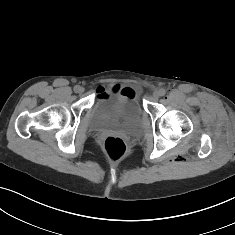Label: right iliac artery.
Listing matches in <instances>:
<instances>
[{"label": "right iliac artery", "instance_id": "obj_1", "mask_svg": "<svg viewBox=\"0 0 235 235\" xmlns=\"http://www.w3.org/2000/svg\"><path fill=\"white\" fill-rule=\"evenodd\" d=\"M78 88H79V86L76 85V86L74 87V91L77 92Z\"/></svg>", "mask_w": 235, "mask_h": 235}]
</instances>
